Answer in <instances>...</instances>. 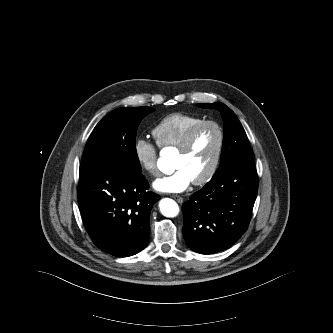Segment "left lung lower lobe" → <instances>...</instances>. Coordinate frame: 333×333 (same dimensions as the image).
Masks as SVG:
<instances>
[{
  "instance_id": "obj_1",
  "label": "left lung lower lobe",
  "mask_w": 333,
  "mask_h": 333,
  "mask_svg": "<svg viewBox=\"0 0 333 333\" xmlns=\"http://www.w3.org/2000/svg\"><path fill=\"white\" fill-rule=\"evenodd\" d=\"M258 190L253 161L227 166L183 204V235L201 254L232 246L246 231Z\"/></svg>"
}]
</instances>
